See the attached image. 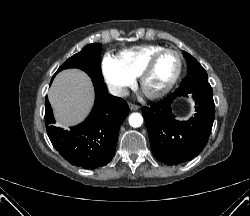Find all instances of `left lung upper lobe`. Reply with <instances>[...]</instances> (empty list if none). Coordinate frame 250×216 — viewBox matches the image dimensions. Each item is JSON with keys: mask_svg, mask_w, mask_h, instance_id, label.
I'll return each instance as SVG.
<instances>
[{"mask_svg": "<svg viewBox=\"0 0 250 216\" xmlns=\"http://www.w3.org/2000/svg\"><path fill=\"white\" fill-rule=\"evenodd\" d=\"M188 64V74L183 79L177 93H188L195 90L212 92V87L208 83L205 69L189 53L184 52Z\"/></svg>", "mask_w": 250, "mask_h": 216, "instance_id": "5c2ea615", "label": "left lung upper lobe"}]
</instances>
